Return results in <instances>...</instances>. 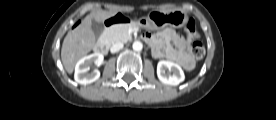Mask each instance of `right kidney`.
Segmentation results:
<instances>
[{
    "label": "right kidney",
    "mask_w": 276,
    "mask_h": 120,
    "mask_svg": "<svg viewBox=\"0 0 276 120\" xmlns=\"http://www.w3.org/2000/svg\"><path fill=\"white\" fill-rule=\"evenodd\" d=\"M103 55L100 53H94L81 58L75 66L74 79L77 83L86 85L93 83L100 77L99 70L95 69L89 72L90 65L94 62L97 66L103 63Z\"/></svg>",
    "instance_id": "1"
}]
</instances>
